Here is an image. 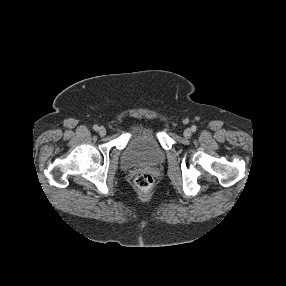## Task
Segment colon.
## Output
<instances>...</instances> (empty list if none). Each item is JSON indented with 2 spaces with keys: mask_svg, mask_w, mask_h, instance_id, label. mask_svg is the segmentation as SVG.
<instances>
[{
  "mask_svg": "<svg viewBox=\"0 0 286 286\" xmlns=\"http://www.w3.org/2000/svg\"><path fill=\"white\" fill-rule=\"evenodd\" d=\"M153 177L145 172L139 173L134 180L135 186L143 191L149 190L153 185Z\"/></svg>",
  "mask_w": 286,
  "mask_h": 286,
  "instance_id": "colon-1",
  "label": "colon"
}]
</instances>
